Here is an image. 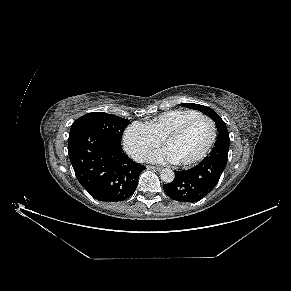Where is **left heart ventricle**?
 Here are the masks:
<instances>
[{
	"instance_id": "left-heart-ventricle-1",
	"label": "left heart ventricle",
	"mask_w": 291,
	"mask_h": 291,
	"mask_svg": "<svg viewBox=\"0 0 291 291\" xmlns=\"http://www.w3.org/2000/svg\"><path fill=\"white\" fill-rule=\"evenodd\" d=\"M211 136L208 122L201 120L193 124L180 137L169 141L165 147L176 161H187L196 157L206 147Z\"/></svg>"
}]
</instances>
